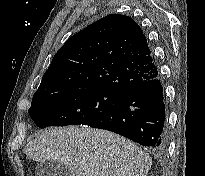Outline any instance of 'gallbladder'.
Instances as JSON below:
<instances>
[{
  "label": "gallbladder",
  "mask_w": 205,
  "mask_h": 176,
  "mask_svg": "<svg viewBox=\"0 0 205 176\" xmlns=\"http://www.w3.org/2000/svg\"><path fill=\"white\" fill-rule=\"evenodd\" d=\"M36 176H70L69 168L60 162H40L35 168Z\"/></svg>",
  "instance_id": "gallbladder-1"
}]
</instances>
